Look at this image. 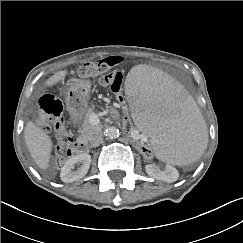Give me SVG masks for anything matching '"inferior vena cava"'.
<instances>
[{
  "mask_svg": "<svg viewBox=\"0 0 243 243\" xmlns=\"http://www.w3.org/2000/svg\"><path fill=\"white\" fill-rule=\"evenodd\" d=\"M101 141H102V135L101 134H98L91 141V145L93 147H98L100 145Z\"/></svg>",
  "mask_w": 243,
  "mask_h": 243,
  "instance_id": "602c4592",
  "label": "inferior vena cava"
}]
</instances>
